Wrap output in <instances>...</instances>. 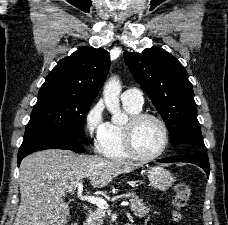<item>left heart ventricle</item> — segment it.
<instances>
[{
  "mask_svg": "<svg viewBox=\"0 0 228 225\" xmlns=\"http://www.w3.org/2000/svg\"><path fill=\"white\" fill-rule=\"evenodd\" d=\"M164 143V131L162 126L153 119H146L136 130V144L145 155H153L159 152Z\"/></svg>",
  "mask_w": 228,
  "mask_h": 225,
  "instance_id": "b2bd125f",
  "label": "left heart ventricle"
}]
</instances>
